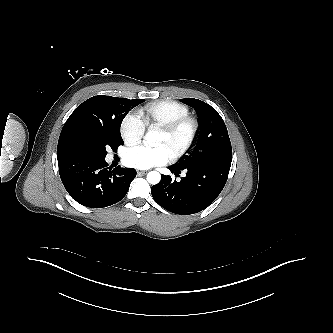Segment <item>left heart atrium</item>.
Returning a JSON list of instances; mask_svg holds the SVG:
<instances>
[{"instance_id":"1","label":"left heart atrium","mask_w":333,"mask_h":333,"mask_svg":"<svg viewBox=\"0 0 333 333\" xmlns=\"http://www.w3.org/2000/svg\"><path fill=\"white\" fill-rule=\"evenodd\" d=\"M172 158L166 146L148 147L138 145L128 148L124 153L125 163L134 168L148 169L167 163Z\"/></svg>"}]
</instances>
